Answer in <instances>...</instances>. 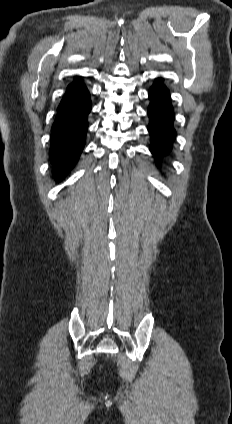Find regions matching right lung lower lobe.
I'll use <instances>...</instances> for the list:
<instances>
[{"instance_id":"right-lung-lower-lobe-1","label":"right lung lower lobe","mask_w":232,"mask_h":424,"mask_svg":"<svg viewBox=\"0 0 232 424\" xmlns=\"http://www.w3.org/2000/svg\"><path fill=\"white\" fill-rule=\"evenodd\" d=\"M91 110L90 95L81 80L67 87L52 126L50 158L60 181L76 164L84 148Z\"/></svg>"}]
</instances>
